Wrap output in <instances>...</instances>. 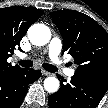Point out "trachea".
Masks as SVG:
<instances>
[{"label":"trachea","mask_w":108,"mask_h":108,"mask_svg":"<svg viewBox=\"0 0 108 108\" xmlns=\"http://www.w3.org/2000/svg\"><path fill=\"white\" fill-rule=\"evenodd\" d=\"M19 64L22 66V67H31L33 65V61L31 60H22V61H19ZM42 67L48 71V72H56L58 69L51 65V64H48V63H43L42 64Z\"/></svg>","instance_id":"1"}]
</instances>
